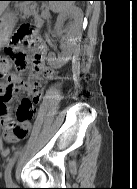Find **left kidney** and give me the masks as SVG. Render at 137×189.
Returning <instances> with one entry per match:
<instances>
[{
	"label": "left kidney",
	"mask_w": 137,
	"mask_h": 189,
	"mask_svg": "<svg viewBox=\"0 0 137 189\" xmlns=\"http://www.w3.org/2000/svg\"><path fill=\"white\" fill-rule=\"evenodd\" d=\"M81 13L76 9L75 7H68L65 11L61 12L60 15L57 18L55 30L61 33V27L67 17H73L75 19L80 18ZM71 58V51L67 50L64 51L61 56L58 58H54L52 54L49 55L48 61L56 66L61 67L63 64H65L69 59Z\"/></svg>",
	"instance_id": "obj_1"
}]
</instances>
